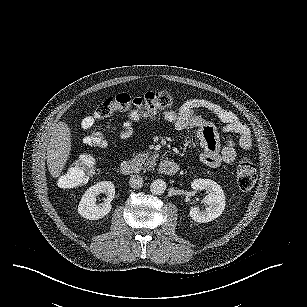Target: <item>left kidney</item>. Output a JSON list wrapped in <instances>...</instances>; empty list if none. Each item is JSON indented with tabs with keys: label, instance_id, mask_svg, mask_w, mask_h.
<instances>
[{
	"label": "left kidney",
	"instance_id": "left-kidney-1",
	"mask_svg": "<svg viewBox=\"0 0 307 307\" xmlns=\"http://www.w3.org/2000/svg\"><path fill=\"white\" fill-rule=\"evenodd\" d=\"M193 190H206L207 195L202 202L206 205L203 210L192 207L189 216L196 222L206 223L219 217L225 209V195L221 186L211 179H194L191 182Z\"/></svg>",
	"mask_w": 307,
	"mask_h": 307
}]
</instances>
